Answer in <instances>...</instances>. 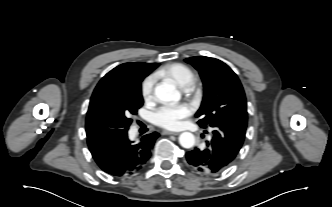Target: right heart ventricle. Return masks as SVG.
Masks as SVG:
<instances>
[{"instance_id":"right-heart-ventricle-1","label":"right heart ventricle","mask_w":332,"mask_h":207,"mask_svg":"<svg viewBox=\"0 0 332 207\" xmlns=\"http://www.w3.org/2000/svg\"><path fill=\"white\" fill-rule=\"evenodd\" d=\"M158 76L173 81L182 89H187L194 80L192 69L183 63H170L158 71Z\"/></svg>"}]
</instances>
